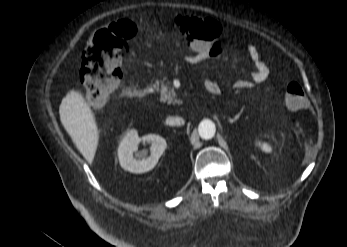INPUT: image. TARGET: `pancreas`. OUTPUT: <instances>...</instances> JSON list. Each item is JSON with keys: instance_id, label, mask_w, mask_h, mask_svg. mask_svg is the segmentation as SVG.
Masks as SVG:
<instances>
[{"instance_id": "pancreas-1", "label": "pancreas", "mask_w": 347, "mask_h": 247, "mask_svg": "<svg viewBox=\"0 0 347 247\" xmlns=\"http://www.w3.org/2000/svg\"><path fill=\"white\" fill-rule=\"evenodd\" d=\"M165 80H157L154 84L153 87L157 90L160 91V101L162 102H167L168 104H176L180 105L182 104L181 100H178L176 98V93L173 88L168 87L167 84H165Z\"/></svg>"}]
</instances>
